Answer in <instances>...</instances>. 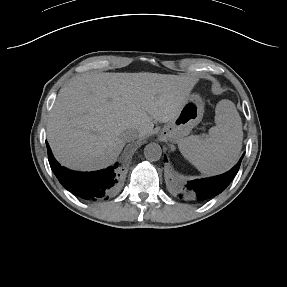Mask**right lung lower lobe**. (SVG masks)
Listing matches in <instances>:
<instances>
[{"instance_id": "98d812e1", "label": "right lung lower lobe", "mask_w": 287, "mask_h": 287, "mask_svg": "<svg viewBox=\"0 0 287 287\" xmlns=\"http://www.w3.org/2000/svg\"><path fill=\"white\" fill-rule=\"evenodd\" d=\"M47 144L48 159L54 174L60 183L73 194L90 201L110 195L117 187L118 176L116 163L114 167H109L96 172H75L68 170L55 160L51 149Z\"/></svg>"}]
</instances>
